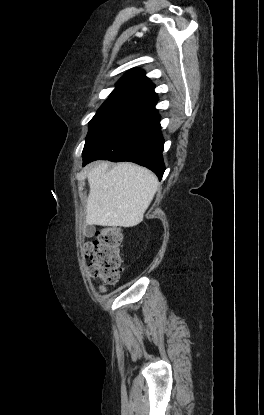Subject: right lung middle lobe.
Segmentation results:
<instances>
[{"label":"right lung middle lobe","instance_id":"right-lung-middle-lobe-1","mask_svg":"<svg viewBox=\"0 0 264 415\" xmlns=\"http://www.w3.org/2000/svg\"><path fill=\"white\" fill-rule=\"evenodd\" d=\"M143 101L123 96H109L89 122L84 149L90 147L107 129Z\"/></svg>","mask_w":264,"mask_h":415}]
</instances>
